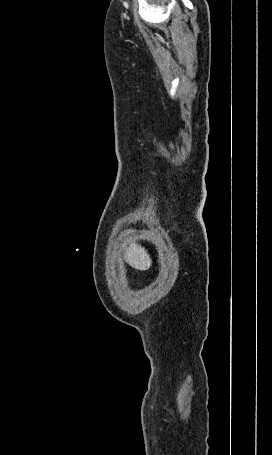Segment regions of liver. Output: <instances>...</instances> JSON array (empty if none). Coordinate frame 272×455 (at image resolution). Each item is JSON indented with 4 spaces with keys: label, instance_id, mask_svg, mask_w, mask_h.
Masks as SVG:
<instances>
[{
    "label": "liver",
    "instance_id": "liver-1",
    "mask_svg": "<svg viewBox=\"0 0 272 455\" xmlns=\"http://www.w3.org/2000/svg\"><path fill=\"white\" fill-rule=\"evenodd\" d=\"M124 259L132 267L138 270H148L151 266V258L145 248L131 244L130 247L126 248L124 253Z\"/></svg>",
    "mask_w": 272,
    "mask_h": 455
}]
</instances>
